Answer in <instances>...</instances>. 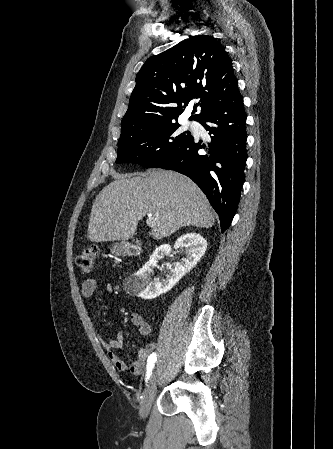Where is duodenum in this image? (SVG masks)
Segmentation results:
<instances>
[{
	"mask_svg": "<svg viewBox=\"0 0 333 449\" xmlns=\"http://www.w3.org/2000/svg\"><path fill=\"white\" fill-rule=\"evenodd\" d=\"M124 252L128 255H137L139 253V250L134 246H126L124 248Z\"/></svg>",
	"mask_w": 333,
	"mask_h": 449,
	"instance_id": "duodenum-1",
	"label": "duodenum"
}]
</instances>
